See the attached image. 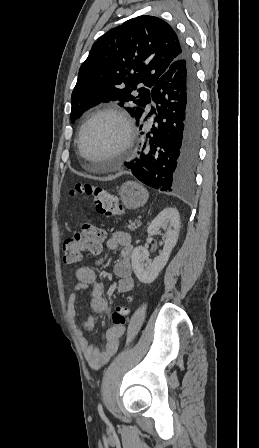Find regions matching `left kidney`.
<instances>
[{"label":"left kidney","instance_id":"5707ae66","mask_svg":"<svg viewBox=\"0 0 259 448\" xmlns=\"http://www.w3.org/2000/svg\"><path fill=\"white\" fill-rule=\"evenodd\" d=\"M160 228L165 230V234H163L165 244L158 258H154L153 262H151L149 260V252L143 246H137L132 252L133 272L139 282H143V284H152L156 280L159 272L166 266L169 256L177 244L180 232V216L177 208H165V210H162L151 222L147 232L151 236H156V234H160Z\"/></svg>","mask_w":259,"mask_h":448}]
</instances>
